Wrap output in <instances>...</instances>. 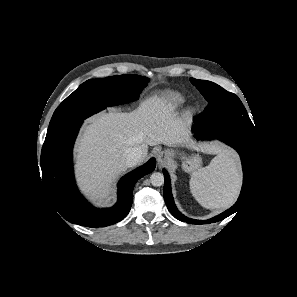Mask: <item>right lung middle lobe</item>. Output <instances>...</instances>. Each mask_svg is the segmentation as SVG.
Masks as SVG:
<instances>
[{"mask_svg": "<svg viewBox=\"0 0 297 297\" xmlns=\"http://www.w3.org/2000/svg\"><path fill=\"white\" fill-rule=\"evenodd\" d=\"M148 80L135 74L87 80L57 107L45 139L53 138L107 106L137 99Z\"/></svg>", "mask_w": 297, "mask_h": 297, "instance_id": "dd1d6c3e", "label": "right lung middle lobe"}]
</instances>
